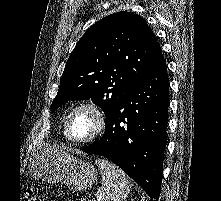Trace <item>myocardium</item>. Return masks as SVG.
<instances>
[{"mask_svg":"<svg viewBox=\"0 0 221 201\" xmlns=\"http://www.w3.org/2000/svg\"><path fill=\"white\" fill-rule=\"evenodd\" d=\"M85 111L89 112L95 120V128L93 133L84 139H76L71 134V121L75 114L78 112ZM105 128V115L102 109L93 101H85L76 105L67 115L65 120V135L73 143L76 144H86L94 141L98 138Z\"/></svg>","mask_w":221,"mask_h":201,"instance_id":"myocardium-1","label":"myocardium"}]
</instances>
